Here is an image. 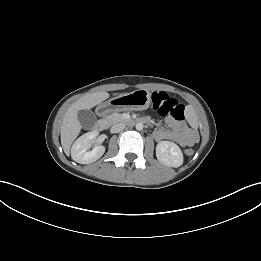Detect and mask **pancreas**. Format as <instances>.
<instances>
[{
    "instance_id": "pancreas-1",
    "label": "pancreas",
    "mask_w": 261,
    "mask_h": 261,
    "mask_svg": "<svg viewBox=\"0 0 261 261\" xmlns=\"http://www.w3.org/2000/svg\"><path fill=\"white\" fill-rule=\"evenodd\" d=\"M124 117L122 114H119V113H113L111 114L110 116H108L105 121L111 125V124H114L116 122H120V121H124Z\"/></svg>"
}]
</instances>
